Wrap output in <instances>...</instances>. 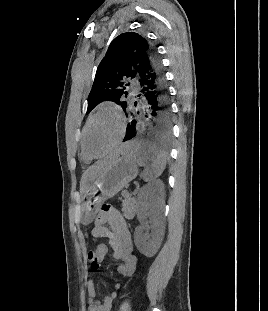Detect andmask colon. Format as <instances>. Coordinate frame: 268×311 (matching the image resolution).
<instances>
[{"label": "colon", "mask_w": 268, "mask_h": 311, "mask_svg": "<svg viewBox=\"0 0 268 311\" xmlns=\"http://www.w3.org/2000/svg\"><path fill=\"white\" fill-rule=\"evenodd\" d=\"M106 252L107 246L105 244H100L94 250L89 251L88 260L92 271H97L100 268Z\"/></svg>", "instance_id": "5ec220e1"}]
</instances>
